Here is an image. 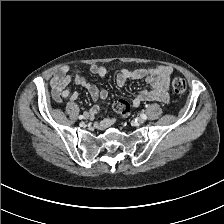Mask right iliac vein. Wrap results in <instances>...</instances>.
I'll return each mask as SVG.
<instances>
[{
    "mask_svg": "<svg viewBox=\"0 0 224 224\" xmlns=\"http://www.w3.org/2000/svg\"><path fill=\"white\" fill-rule=\"evenodd\" d=\"M89 118V114L87 112L84 113V119H88Z\"/></svg>",
    "mask_w": 224,
    "mask_h": 224,
    "instance_id": "63e3f726",
    "label": "right iliac vein"
}]
</instances>
